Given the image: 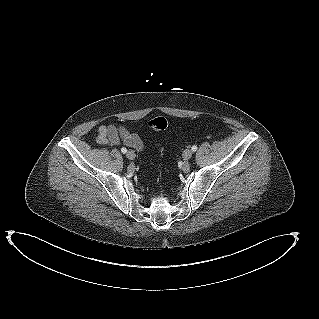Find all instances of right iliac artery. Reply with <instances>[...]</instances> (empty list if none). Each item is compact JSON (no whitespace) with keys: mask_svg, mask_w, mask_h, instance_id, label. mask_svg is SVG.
Wrapping results in <instances>:
<instances>
[{"mask_svg":"<svg viewBox=\"0 0 319 319\" xmlns=\"http://www.w3.org/2000/svg\"><path fill=\"white\" fill-rule=\"evenodd\" d=\"M121 152L125 154V153L127 152V149L124 148V147H122V148H121Z\"/></svg>","mask_w":319,"mask_h":319,"instance_id":"obj_1","label":"right iliac artery"}]
</instances>
